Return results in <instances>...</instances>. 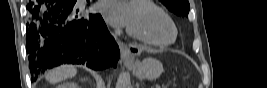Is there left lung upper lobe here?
I'll list each match as a JSON object with an SVG mask.
<instances>
[{"mask_svg": "<svg viewBox=\"0 0 267 88\" xmlns=\"http://www.w3.org/2000/svg\"><path fill=\"white\" fill-rule=\"evenodd\" d=\"M169 10L177 15L188 16L190 5L188 0H160Z\"/></svg>", "mask_w": 267, "mask_h": 88, "instance_id": "left-lung-upper-lobe-1", "label": "left lung upper lobe"}]
</instances>
